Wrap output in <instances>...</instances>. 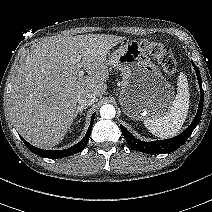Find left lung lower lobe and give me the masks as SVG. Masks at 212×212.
<instances>
[{"label":"left lung lower lobe","mask_w":212,"mask_h":212,"mask_svg":"<svg viewBox=\"0 0 212 212\" xmlns=\"http://www.w3.org/2000/svg\"><path fill=\"white\" fill-rule=\"evenodd\" d=\"M195 72L197 74L198 82H199V87H200V103L198 107L197 114L193 120V122L189 125V127L182 132L180 135L166 139V140H158V141H153V142H144L136 139L133 135H131L122 125L121 131L122 134L126 140V142L131 146L133 149L147 153V154H163V153H169L177 148H179L191 135L195 127L198 125L201 115H202V109H203V89H202V79L200 76V72L197 68V66L192 62Z\"/></svg>","instance_id":"1"}]
</instances>
